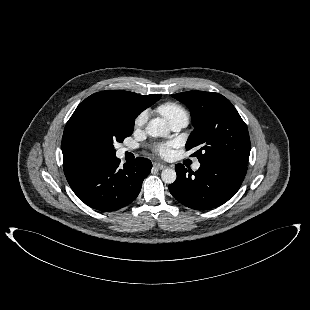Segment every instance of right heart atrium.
<instances>
[{"mask_svg":"<svg viewBox=\"0 0 310 310\" xmlns=\"http://www.w3.org/2000/svg\"><path fill=\"white\" fill-rule=\"evenodd\" d=\"M146 122V114L145 113H141L140 115H138V117L135 120V128H141Z\"/></svg>","mask_w":310,"mask_h":310,"instance_id":"obj_1","label":"right heart atrium"}]
</instances>
